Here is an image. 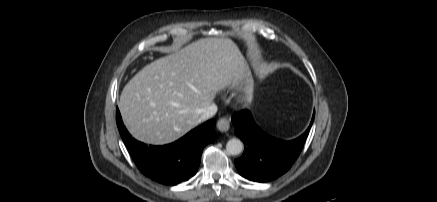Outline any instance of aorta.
<instances>
[{"label":"aorta","instance_id":"aorta-1","mask_svg":"<svg viewBox=\"0 0 437 202\" xmlns=\"http://www.w3.org/2000/svg\"><path fill=\"white\" fill-rule=\"evenodd\" d=\"M226 150L231 155H238L243 150V143L236 138L230 139L226 144Z\"/></svg>","mask_w":437,"mask_h":202}]
</instances>
